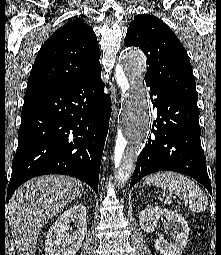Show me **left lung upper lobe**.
Segmentation results:
<instances>
[{
  "mask_svg": "<svg viewBox=\"0 0 221 255\" xmlns=\"http://www.w3.org/2000/svg\"><path fill=\"white\" fill-rule=\"evenodd\" d=\"M125 46L139 47L149 66L146 85L197 103L196 83L188 55L172 32L159 18L138 14L129 24Z\"/></svg>",
  "mask_w": 221,
  "mask_h": 255,
  "instance_id": "1",
  "label": "left lung upper lobe"
}]
</instances>
